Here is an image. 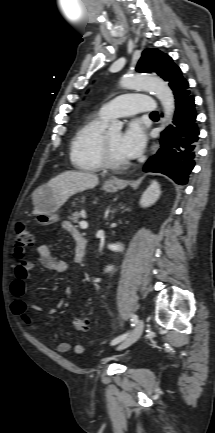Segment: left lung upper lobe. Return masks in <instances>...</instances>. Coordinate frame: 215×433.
Wrapping results in <instances>:
<instances>
[{"label": "left lung upper lobe", "instance_id": "1", "mask_svg": "<svg viewBox=\"0 0 215 433\" xmlns=\"http://www.w3.org/2000/svg\"><path fill=\"white\" fill-rule=\"evenodd\" d=\"M136 70L143 73H157L161 78L171 84L182 78L180 68L173 63L171 57L156 49H146L142 53Z\"/></svg>", "mask_w": 215, "mask_h": 433}]
</instances>
